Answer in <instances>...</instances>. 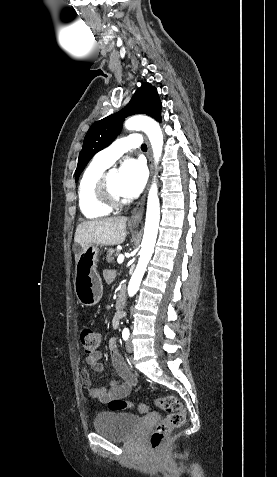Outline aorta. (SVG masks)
I'll return each instance as SVG.
<instances>
[{
    "label": "aorta",
    "mask_w": 277,
    "mask_h": 477,
    "mask_svg": "<svg viewBox=\"0 0 277 477\" xmlns=\"http://www.w3.org/2000/svg\"><path fill=\"white\" fill-rule=\"evenodd\" d=\"M125 128L127 130H142L147 134L153 150L155 163H158L163 147V134L159 124L155 120L146 116H134L125 122ZM159 220L160 203L158 188L156 183H153L149 190L147 199L146 221L140 257L128 285V295L130 297L134 296L138 291L146 267L154 252Z\"/></svg>",
    "instance_id": "762f6f07"
}]
</instances>
